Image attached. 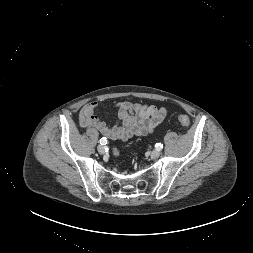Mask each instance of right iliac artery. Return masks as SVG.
<instances>
[{
	"label": "right iliac artery",
	"mask_w": 253,
	"mask_h": 253,
	"mask_svg": "<svg viewBox=\"0 0 253 253\" xmlns=\"http://www.w3.org/2000/svg\"><path fill=\"white\" fill-rule=\"evenodd\" d=\"M99 142H100L101 145L107 144V140H106L105 137L101 138Z\"/></svg>",
	"instance_id": "1"
}]
</instances>
